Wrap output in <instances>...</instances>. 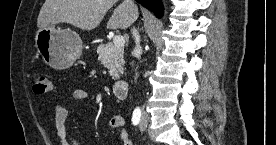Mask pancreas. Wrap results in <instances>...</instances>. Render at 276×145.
<instances>
[{"mask_svg": "<svg viewBox=\"0 0 276 145\" xmlns=\"http://www.w3.org/2000/svg\"><path fill=\"white\" fill-rule=\"evenodd\" d=\"M97 53L99 61L109 70L112 79H120L125 64L123 47H115L112 43H101L97 47Z\"/></svg>", "mask_w": 276, "mask_h": 145, "instance_id": "1", "label": "pancreas"}]
</instances>
